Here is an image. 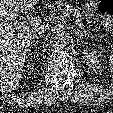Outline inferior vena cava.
<instances>
[{
	"mask_svg": "<svg viewBox=\"0 0 113 113\" xmlns=\"http://www.w3.org/2000/svg\"><path fill=\"white\" fill-rule=\"evenodd\" d=\"M49 29V26L47 24L36 26L32 29V32L35 35L43 37L44 33Z\"/></svg>",
	"mask_w": 113,
	"mask_h": 113,
	"instance_id": "1",
	"label": "inferior vena cava"
}]
</instances>
